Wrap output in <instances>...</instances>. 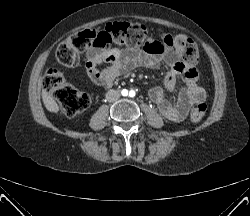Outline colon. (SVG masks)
<instances>
[{
    "mask_svg": "<svg viewBox=\"0 0 250 216\" xmlns=\"http://www.w3.org/2000/svg\"><path fill=\"white\" fill-rule=\"evenodd\" d=\"M147 28L140 23L114 22L98 29H86L75 33L64 40L57 49V59L63 66L74 67L79 63L80 53L90 48H108L112 44L131 49L143 47V41L148 36ZM176 40L175 48L182 61L193 67L197 64L199 53L194 40L184 34L173 35ZM43 87L52 94L62 112L73 117L83 113L92 102L88 93L76 90L71 86L63 72L58 68L46 71ZM207 106L200 102L194 105L189 118L194 124L199 123Z\"/></svg>",
    "mask_w": 250,
    "mask_h": 216,
    "instance_id": "colon-1",
    "label": "colon"
}]
</instances>
